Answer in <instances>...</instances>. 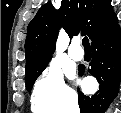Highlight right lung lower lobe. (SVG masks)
<instances>
[{"label":"right lung lower lobe","mask_w":121,"mask_h":113,"mask_svg":"<svg viewBox=\"0 0 121 113\" xmlns=\"http://www.w3.org/2000/svg\"><path fill=\"white\" fill-rule=\"evenodd\" d=\"M93 58L89 73L97 78L100 88L90 96L78 89L81 113H104L118 95L121 81V29L117 24L109 32L91 42ZM84 67H79L80 75Z\"/></svg>","instance_id":"98d812e1"}]
</instances>
